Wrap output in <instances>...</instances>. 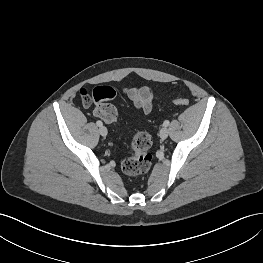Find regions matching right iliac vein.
<instances>
[{
  "mask_svg": "<svg viewBox=\"0 0 263 263\" xmlns=\"http://www.w3.org/2000/svg\"><path fill=\"white\" fill-rule=\"evenodd\" d=\"M99 133L101 136H104V137L107 136V134H108L107 128L104 126H100Z\"/></svg>",
  "mask_w": 263,
  "mask_h": 263,
  "instance_id": "right-iliac-vein-1",
  "label": "right iliac vein"
}]
</instances>
